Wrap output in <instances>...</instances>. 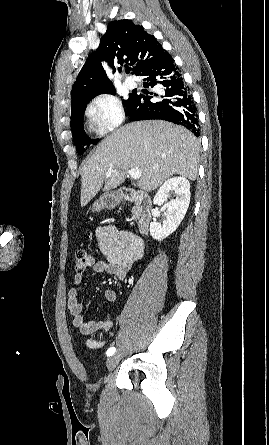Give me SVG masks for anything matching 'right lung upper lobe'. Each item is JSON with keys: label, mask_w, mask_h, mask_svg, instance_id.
Here are the masks:
<instances>
[{"label": "right lung upper lobe", "mask_w": 269, "mask_h": 445, "mask_svg": "<svg viewBox=\"0 0 269 445\" xmlns=\"http://www.w3.org/2000/svg\"><path fill=\"white\" fill-rule=\"evenodd\" d=\"M168 54L142 26L127 19L110 22L98 49L86 60L73 85L72 107L99 94L115 91L102 67V60L108 62L114 73V64H128L132 74L138 76ZM118 70L121 72L122 68Z\"/></svg>", "instance_id": "obj_1"}]
</instances>
